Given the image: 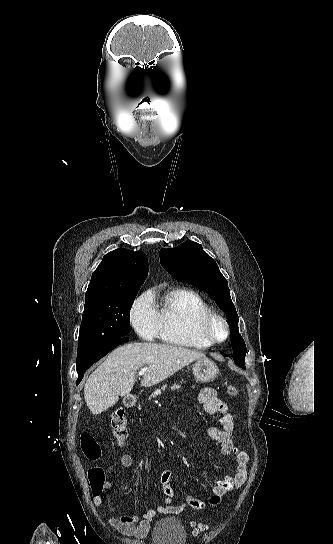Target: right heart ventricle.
<instances>
[{
	"instance_id": "e07e8e85",
	"label": "right heart ventricle",
	"mask_w": 333,
	"mask_h": 544,
	"mask_svg": "<svg viewBox=\"0 0 333 544\" xmlns=\"http://www.w3.org/2000/svg\"><path fill=\"white\" fill-rule=\"evenodd\" d=\"M210 311V305L198 292L183 287L169 290L158 310L160 338L177 346L209 348L211 345L200 336L199 324Z\"/></svg>"
}]
</instances>
